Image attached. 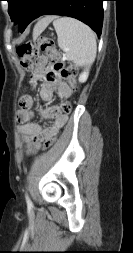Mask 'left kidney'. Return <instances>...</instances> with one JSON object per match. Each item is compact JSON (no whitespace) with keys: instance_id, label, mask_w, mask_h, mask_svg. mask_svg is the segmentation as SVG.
Wrapping results in <instances>:
<instances>
[{"instance_id":"5707ae66","label":"left kidney","mask_w":133,"mask_h":253,"mask_svg":"<svg viewBox=\"0 0 133 253\" xmlns=\"http://www.w3.org/2000/svg\"><path fill=\"white\" fill-rule=\"evenodd\" d=\"M88 74H89L88 70L85 71V72H83V73L79 76V82H81V83L85 82V81L87 80V78H88Z\"/></svg>"}]
</instances>
